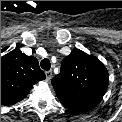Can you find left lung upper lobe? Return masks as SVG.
<instances>
[{"label": "left lung upper lobe", "mask_w": 122, "mask_h": 122, "mask_svg": "<svg viewBox=\"0 0 122 122\" xmlns=\"http://www.w3.org/2000/svg\"><path fill=\"white\" fill-rule=\"evenodd\" d=\"M108 83V71L103 63L79 49L63 59L60 73L52 79L62 105L78 114L99 104Z\"/></svg>", "instance_id": "1"}]
</instances>
